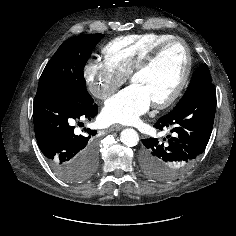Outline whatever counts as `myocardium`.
I'll return each mask as SVG.
<instances>
[{"label": "myocardium", "mask_w": 236, "mask_h": 236, "mask_svg": "<svg viewBox=\"0 0 236 236\" xmlns=\"http://www.w3.org/2000/svg\"><path fill=\"white\" fill-rule=\"evenodd\" d=\"M175 43L180 44L184 50L185 61H186L184 73L181 79L179 80V82L177 83V85L175 86V88L173 89V91L167 97L152 103L153 107L157 109H164L172 105L181 95L182 91L184 90L190 78L191 70H192V57H191L190 50L187 43L182 38H179V37H172L170 39H167L159 43L129 73V79L132 81L135 76L149 69L153 65V63L157 60V58L160 56V54L168 46Z\"/></svg>", "instance_id": "1"}]
</instances>
